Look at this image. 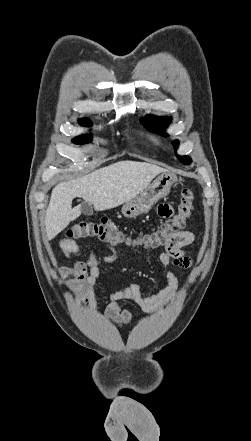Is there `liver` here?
Instances as JSON below:
<instances>
[{
    "instance_id": "1",
    "label": "liver",
    "mask_w": 251,
    "mask_h": 441,
    "mask_svg": "<svg viewBox=\"0 0 251 441\" xmlns=\"http://www.w3.org/2000/svg\"><path fill=\"white\" fill-rule=\"evenodd\" d=\"M167 170L138 161H119L78 179L56 185L46 210L45 227L49 240L63 231L81 214L72 200L83 198L96 211L115 208L139 195L158 174Z\"/></svg>"
}]
</instances>
